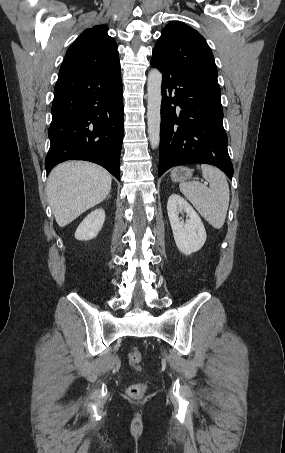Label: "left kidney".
I'll use <instances>...</instances> for the list:
<instances>
[{
    "label": "left kidney",
    "mask_w": 285,
    "mask_h": 453,
    "mask_svg": "<svg viewBox=\"0 0 285 453\" xmlns=\"http://www.w3.org/2000/svg\"><path fill=\"white\" fill-rule=\"evenodd\" d=\"M167 212L179 251L185 255L199 251L206 241V231L193 207L180 195L172 194L168 199ZM183 212L189 217L185 223L179 218Z\"/></svg>",
    "instance_id": "obj_1"
}]
</instances>
